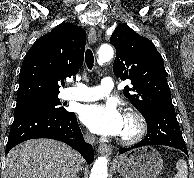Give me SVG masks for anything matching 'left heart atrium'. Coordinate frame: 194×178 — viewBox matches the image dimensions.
<instances>
[{
	"instance_id": "obj_1",
	"label": "left heart atrium",
	"mask_w": 194,
	"mask_h": 178,
	"mask_svg": "<svg viewBox=\"0 0 194 178\" xmlns=\"http://www.w3.org/2000/svg\"><path fill=\"white\" fill-rule=\"evenodd\" d=\"M79 118L95 134L121 136L124 130V116L112 103L85 105Z\"/></svg>"
}]
</instances>
